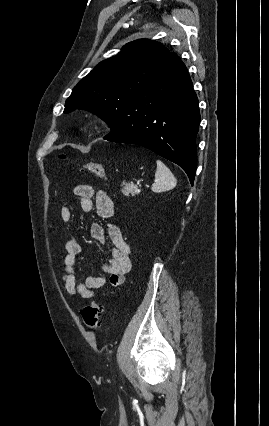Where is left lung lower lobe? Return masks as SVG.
Here are the masks:
<instances>
[{
	"mask_svg": "<svg viewBox=\"0 0 269 426\" xmlns=\"http://www.w3.org/2000/svg\"><path fill=\"white\" fill-rule=\"evenodd\" d=\"M199 123L198 99L186 66L170 53L150 86L132 97L124 119L104 139L148 148L179 165L193 184Z\"/></svg>",
	"mask_w": 269,
	"mask_h": 426,
	"instance_id": "1",
	"label": "left lung lower lobe"
}]
</instances>
